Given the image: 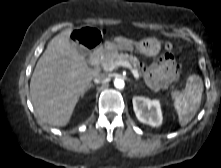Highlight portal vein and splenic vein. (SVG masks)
<instances>
[{"label": "portal vein and splenic vein", "mask_w": 221, "mask_h": 168, "mask_svg": "<svg viewBox=\"0 0 221 168\" xmlns=\"http://www.w3.org/2000/svg\"><path fill=\"white\" fill-rule=\"evenodd\" d=\"M118 66H123V67H126V68H129L133 74V76L136 78V79H139V74L132 68L131 64L127 61H116L114 64H112L111 66H105L103 67V69L105 71H112L115 67H118Z\"/></svg>", "instance_id": "1"}]
</instances>
